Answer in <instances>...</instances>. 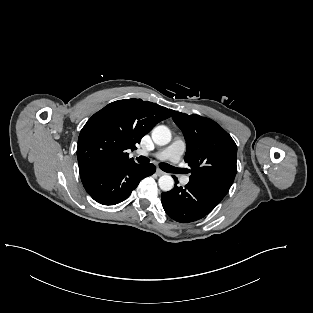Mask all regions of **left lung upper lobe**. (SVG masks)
I'll return each instance as SVG.
<instances>
[{
  "label": "left lung upper lobe",
  "instance_id": "left-lung-upper-lobe-1",
  "mask_svg": "<svg viewBox=\"0 0 313 313\" xmlns=\"http://www.w3.org/2000/svg\"><path fill=\"white\" fill-rule=\"evenodd\" d=\"M186 140L185 162L191 168L189 182L225 196L237 172V146L213 120L171 110Z\"/></svg>",
  "mask_w": 313,
  "mask_h": 313
}]
</instances>
